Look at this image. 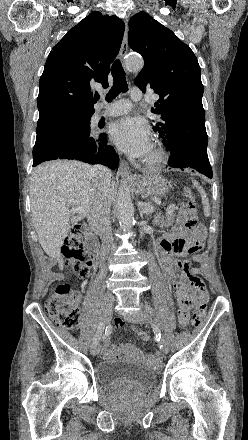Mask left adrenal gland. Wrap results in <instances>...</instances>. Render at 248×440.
<instances>
[{
  "label": "left adrenal gland",
  "instance_id": "a2214340",
  "mask_svg": "<svg viewBox=\"0 0 248 440\" xmlns=\"http://www.w3.org/2000/svg\"><path fill=\"white\" fill-rule=\"evenodd\" d=\"M139 211H140V216H141V217H143V213L141 212V210H140V209H139Z\"/></svg>",
  "mask_w": 248,
  "mask_h": 440
}]
</instances>
